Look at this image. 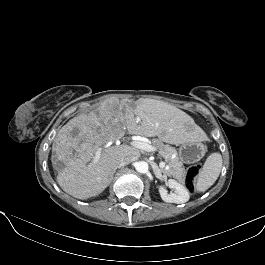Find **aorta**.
<instances>
[{
	"label": "aorta",
	"mask_w": 265,
	"mask_h": 265,
	"mask_svg": "<svg viewBox=\"0 0 265 265\" xmlns=\"http://www.w3.org/2000/svg\"><path fill=\"white\" fill-rule=\"evenodd\" d=\"M135 168L137 172L145 174L148 172L149 166L148 163L145 161H139L136 163Z\"/></svg>",
	"instance_id": "762f6f07"
}]
</instances>
